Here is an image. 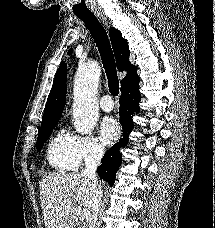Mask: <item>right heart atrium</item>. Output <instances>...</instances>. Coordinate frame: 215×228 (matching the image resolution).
<instances>
[{
	"mask_svg": "<svg viewBox=\"0 0 215 228\" xmlns=\"http://www.w3.org/2000/svg\"><path fill=\"white\" fill-rule=\"evenodd\" d=\"M77 145L79 161L83 164L101 161L106 152L104 143L95 136H79Z\"/></svg>",
	"mask_w": 215,
	"mask_h": 228,
	"instance_id": "obj_1",
	"label": "right heart atrium"
}]
</instances>
